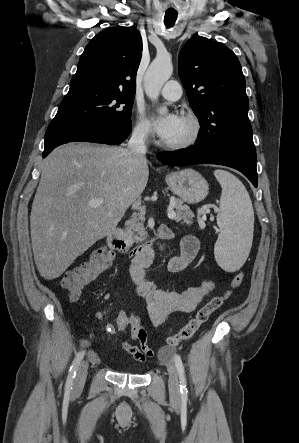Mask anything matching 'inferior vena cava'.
Returning a JSON list of instances; mask_svg holds the SVG:
<instances>
[{
  "mask_svg": "<svg viewBox=\"0 0 299 443\" xmlns=\"http://www.w3.org/2000/svg\"><path fill=\"white\" fill-rule=\"evenodd\" d=\"M147 137V131L143 129H136L133 131L132 136L127 144L128 149L134 153L141 160H146L147 147L145 140Z\"/></svg>",
  "mask_w": 299,
  "mask_h": 443,
  "instance_id": "inferior-vena-cava-1",
  "label": "inferior vena cava"
}]
</instances>
